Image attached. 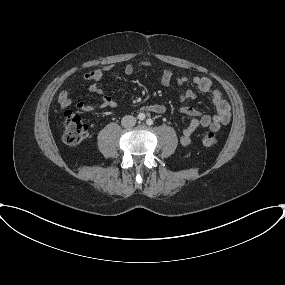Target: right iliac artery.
I'll return each mask as SVG.
<instances>
[{
	"instance_id": "right-iliac-artery-1",
	"label": "right iliac artery",
	"mask_w": 285,
	"mask_h": 285,
	"mask_svg": "<svg viewBox=\"0 0 285 285\" xmlns=\"http://www.w3.org/2000/svg\"><path fill=\"white\" fill-rule=\"evenodd\" d=\"M137 118L142 121V120L145 119V114L144 113H139Z\"/></svg>"
}]
</instances>
